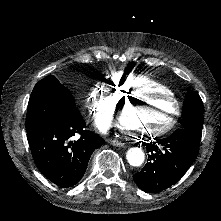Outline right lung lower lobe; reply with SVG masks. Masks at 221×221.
I'll return each mask as SVG.
<instances>
[{
    "label": "right lung lower lobe",
    "mask_w": 221,
    "mask_h": 221,
    "mask_svg": "<svg viewBox=\"0 0 221 221\" xmlns=\"http://www.w3.org/2000/svg\"><path fill=\"white\" fill-rule=\"evenodd\" d=\"M85 127L83 117L78 116L66 122L41 124L27 131L36 166L60 187L75 185L83 177L93 151L104 143L102 137ZM77 133L80 138L70 141Z\"/></svg>",
    "instance_id": "98d812e1"
}]
</instances>
